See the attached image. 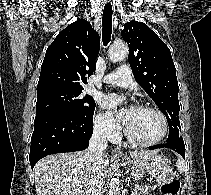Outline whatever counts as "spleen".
<instances>
[{"label": "spleen", "mask_w": 211, "mask_h": 195, "mask_svg": "<svg viewBox=\"0 0 211 195\" xmlns=\"http://www.w3.org/2000/svg\"><path fill=\"white\" fill-rule=\"evenodd\" d=\"M177 169L180 173L185 171V164H184V161L182 159L177 160Z\"/></svg>", "instance_id": "spleen-1"}]
</instances>
